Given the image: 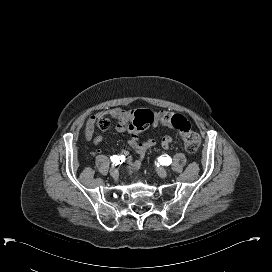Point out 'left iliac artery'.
Masks as SVG:
<instances>
[{"label":"left iliac artery","instance_id":"obj_1","mask_svg":"<svg viewBox=\"0 0 272 272\" xmlns=\"http://www.w3.org/2000/svg\"><path fill=\"white\" fill-rule=\"evenodd\" d=\"M159 162H160V164H162V165H170L171 163H172V159L169 157V156H166V157H161L160 159H159Z\"/></svg>","mask_w":272,"mask_h":272}]
</instances>
